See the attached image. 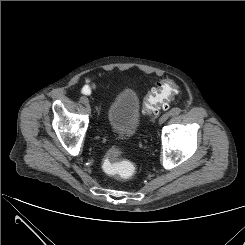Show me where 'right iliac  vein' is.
Returning <instances> with one entry per match:
<instances>
[{
  "instance_id": "1",
  "label": "right iliac vein",
  "mask_w": 245,
  "mask_h": 245,
  "mask_svg": "<svg viewBox=\"0 0 245 245\" xmlns=\"http://www.w3.org/2000/svg\"><path fill=\"white\" fill-rule=\"evenodd\" d=\"M82 103L87 107V109H90L88 99L86 97H83Z\"/></svg>"
}]
</instances>
